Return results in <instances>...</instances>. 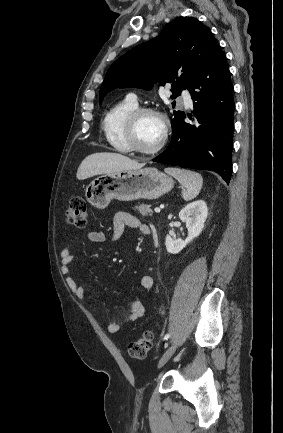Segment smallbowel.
I'll list each match as a JSON object with an SVG mask.
<instances>
[{
    "instance_id": "small-bowel-1",
    "label": "small bowel",
    "mask_w": 283,
    "mask_h": 433,
    "mask_svg": "<svg viewBox=\"0 0 283 433\" xmlns=\"http://www.w3.org/2000/svg\"><path fill=\"white\" fill-rule=\"evenodd\" d=\"M126 227L138 228L143 234H149L150 228L146 224H142L138 218L127 213V212H118L113 217V226H112V241H118L124 233ZM87 239L91 242H104L106 240V235L100 231H90L87 233ZM74 259V255L69 247H65L60 252V260H61V272L66 276L67 284L73 295L80 301L87 303L88 297L86 295L85 289L83 286L79 285L75 279L71 275L70 264ZM154 283V279L150 275H144L139 282V285L142 289H150L152 288ZM146 313V309L144 304L140 300H134L131 303L130 314L127 318V321L133 322L142 317H144ZM121 328V325L118 322H110L108 324V330L111 333L118 332Z\"/></svg>"
}]
</instances>
